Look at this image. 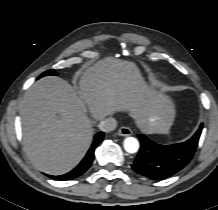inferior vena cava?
Here are the masks:
<instances>
[{"mask_svg":"<svg viewBox=\"0 0 218 210\" xmlns=\"http://www.w3.org/2000/svg\"><path fill=\"white\" fill-rule=\"evenodd\" d=\"M116 126L117 121L112 117L102 120L98 125L99 129L103 132H111Z\"/></svg>","mask_w":218,"mask_h":210,"instance_id":"obj_1","label":"inferior vena cava"}]
</instances>
